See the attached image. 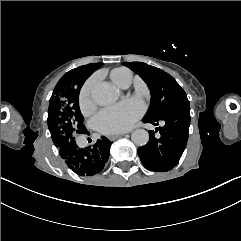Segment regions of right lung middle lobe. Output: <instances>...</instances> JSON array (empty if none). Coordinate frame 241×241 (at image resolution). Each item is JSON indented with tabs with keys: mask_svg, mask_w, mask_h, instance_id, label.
Returning a JSON list of instances; mask_svg holds the SVG:
<instances>
[{
	"mask_svg": "<svg viewBox=\"0 0 241 241\" xmlns=\"http://www.w3.org/2000/svg\"><path fill=\"white\" fill-rule=\"evenodd\" d=\"M101 66L102 63H91L72 69L55 86L49 101L48 128L58 149L76 143L78 134H89L79 109V92L85 80Z\"/></svg>",
	"mask_w": 241,
	"mask_h": 241,
	"instance_id": "1",
	"label": "right lung middle lobe"
}]
</instances>
